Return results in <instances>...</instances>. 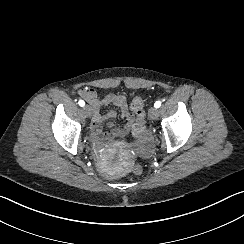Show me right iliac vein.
I'll use <instances>...</instances> for the list:
<instances>
[{"mask_svg": "<svg viewBox=\"0 0 244 244\" xmlns=\"http://www.w3.org/2000/svg\"><path fill=\"white\" fill-rule=\"evenodd\" d=\"M83 113L86 116L90 117L92 115V108H91V106H89V105L84 106L83 107Z\"/></svg>", "mask_w": 244, "mask_h": 244, "instance_id": "obj_1", "label": "right iliac vein"}]
</instances>
